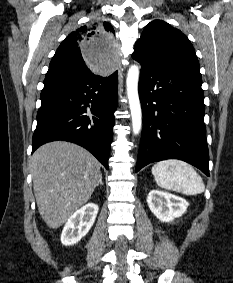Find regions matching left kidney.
<instances>
[{
  "instance_id": "obj_1",
  "label": "left kidney",
  "mask_w": 233,
  "mask_h": 283,
  "mask_svg": "<svg viewBox=\"0 0 233 283\" xmlns=\"http://www.w3.org/2000/svg\"><path fill=\"white\" fill-rule=\"evenodd\" d=\"M147 203L151 212L162 222H172L181 217L189 205L185 199L159 190L150 191Z\"/></svg>"
}]
</instances>
